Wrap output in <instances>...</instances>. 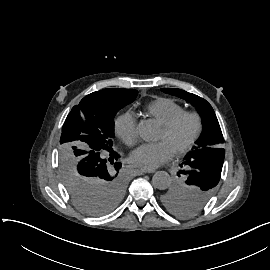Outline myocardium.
<instances>
[{
    "mask_svg": "<svg viewBox=\"0 0 270 270\" xmlns=\"http://www.w3.org/2000/svg\"><path fill=\"white\" fill-rule=\"evenodd\" d=\"M186 119H191L193 121L194 129H193L192 135L190 136L188 141H186L185 143L178 144L176 146V148L179 152H183V151L187 150L195 143V141L199 135L200 128H201V120H200L199 115L195 112H183L182 114H180L179 116H177L176 118L171 120L168 124H165L163 126V128L169 134H173L176 131V129L178 128V126Z\"/></svg>",
    "mask_w": 270,
    "mask_h": 270,
    "instance_id": "myocardium-1",
    "label": "myocardium"
}]
</instances>
